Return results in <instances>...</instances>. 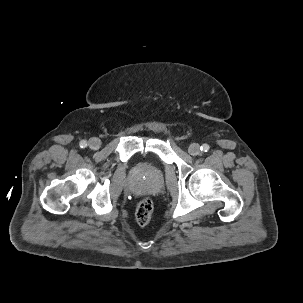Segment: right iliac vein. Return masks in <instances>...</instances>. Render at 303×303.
<instances>
[{
	"label": "right iliac vein",
	"mask_w": 303,
	"mask_h": 303,
	"mask_svg": "<svg viewBox=\"0 0 303 303\" xmlns=\"http://www.w3.org/2000/svg\"><path fill=\"white\" fill-rule=\"evenodd\" d=\"M88 146L93 150H97L101 146V141H100V139H98L96 137L91 138L88 142Z\"/></svg>",
	"instance_id": "obj_1"
}]
</instances>
